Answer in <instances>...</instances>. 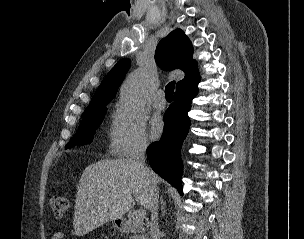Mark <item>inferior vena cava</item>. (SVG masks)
I'll return each instance as SVG.
<instances>
[{"label":"inferior vena cava","mask_w":304,"mask_h":239,"mask_svg":"<svg viewBox=\"0 0 304 239\" xmlns=\"http://www.w3.org/2000/svg\"><path fill=\"white\" fill-rule=\"evenodd\" d=\"M147 148L146 141H140L134 147L131 155L132 162L138 167L141 176L147 181V185L150 190V210H151V221H150V232L152 239H159V225H158V199L159 192L157 188V180L153 172L145 164V152Z\"/></svg>","instance_id":"inferior-vena-cava-1"}]
</instances>
